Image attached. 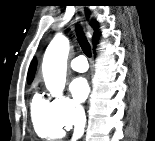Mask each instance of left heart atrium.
Segmentation results:
<instances>
[{"mask_svg": "<svg viewBox=\"0 0 155 141\" xmlns=\"http://www.w3.org/2000/svg\"><path fill=\"white\" fill-rule=\"evenodd\" d=\"M70 90L74 99L78 102H82L88 96L89 86L85 78L78 77L72 81Z\"/></svg>", "mask_w": 155, "mask_h": 141, "instance_id": "39dd6f15", "label": "left heart atrium"}]
</instances>
